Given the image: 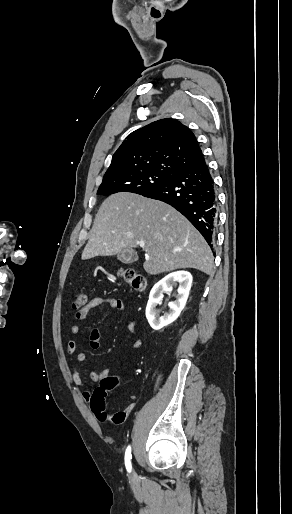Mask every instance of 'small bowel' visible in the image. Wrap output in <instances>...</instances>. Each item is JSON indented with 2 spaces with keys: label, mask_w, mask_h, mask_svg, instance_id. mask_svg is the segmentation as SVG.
I'll use <instances>...</instances> for the list:
<instances>
[{
  "label": "small bowel",
  "mask_w": 292,
  "mask_h": 514,
  "mask_svg": "<svg viewBox=\"0 0 292 514\" xmlns=\"http://www.w3.org/2000/svg\"><path fill=\"white\" fill-rule=\"evenodd\" d=\"M101 306H108L109 308L117 310L119 312L127 311L126 303L120 298L108 297V296H95L89 300V302L87 303V305L84 308L76 311L74 314V317L77 321H82V320L86 319V317L88 316L89 312L92 309H95V308H98ZM128 327H129V330L133 334L136 333L137 326L133 320L129 321ZM70 332L74 338H77L80 335L81 330L78 325H73L71 327ZM89 338H90V347L94 350L99 349L101 343H100V331L98 328H93L91 330ZM141 344H142V342L138 337H134L131 342V345L133 348H139V347H141ZM77 349H78V342L75 339L68 341V343H67L68 353H70V354L76 353ZM84 361H85V354L81 353V352L76 353L75 362H74V365L71 370L72 382L77 387H81V388L85 387V382L81 376V366L84 363ZM102 369L103 370H101L99 372H96V371L89 372L88 377L92 381H95V382L102 380L103 378L107 377L109 366L107 364H104L102 366ZM90 397H91L90 391L85 390L82 392V398L85 401H88L90 399ZM131 400L133 401V404H136L135 396H132Z\"/></svg>",
  "instance_id": "1"
}]
</instances>
